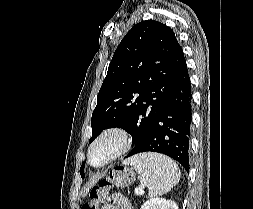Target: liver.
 Here are the masks:
<instances>
[{"label":"liver","mask_w":253,"mask_h":209,"mask_svg":"<svg viewBox=\"0 0 253 209\" xmlns=\"http://www.w3.org/2000/svg\"><path fill=\"white\" fill-rule=\"evenodd\" d=\"M101 178L100 174H97L95 176H93L90 181L83 187L82 191H81V196L85 197L87 195V193L89 192L90 188H92L97 181Z\"/></svg>","instance_id":"6515ba94"}]
</instances>
